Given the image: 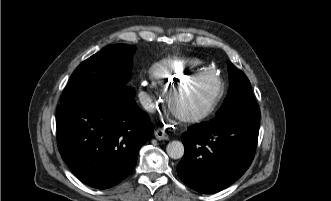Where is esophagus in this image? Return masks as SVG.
Here are the masks:
<instances>
[{"label": "esophagus", "mask_w": 331, "mask_h": 201, "mask_svg": "<svg viewBox=\"0 0 331 201\" xmlns=\"http://www.w3.org/2000/svg\"><path fill=\"white\" fill-rule=\"evenodd\" d=\"M154 135H155L156 139H158V140H168L169 139L168 134L162 129L155 130Z\"/></svg>", "instance_id": "obj_1"}]
</instances>
